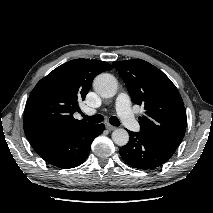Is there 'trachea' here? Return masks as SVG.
I'll list each match as a JSON object with an SVG mask.
<instances>
[{"label":"trachea","instance_id":"trachea-1","mask_svg":"<svg viewBox=\"0 0 213 213\" xmlns=\"http://www.w3.org/2000/svg\"><path fill=\"white\" fill-rule=\"evenodd\" d=\"M82 116L86 121L93 122V123H100L103 120V116L100 115V114H97V115H94V116H86V115L82 114ZM109 122L113 126H119L120 125V121L118 120V118L116 116L110 117Z\"/></svg>","mask_w":213,"mask_h":213}]
</instances>
